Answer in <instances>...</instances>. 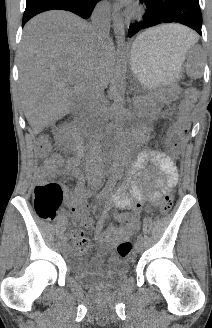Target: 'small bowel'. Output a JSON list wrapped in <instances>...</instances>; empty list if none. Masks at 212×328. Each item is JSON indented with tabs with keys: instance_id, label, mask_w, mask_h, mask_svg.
<instances>
[{
	"instance_id": "1",
	"label": "small bowel",
	"mask_w": 212,
	"mask_h": 328,
	"mask_svg": "<svg viewBox=\"0 0 212 328\" xmlns=\"http://www.w3.org/2000/svg\"><path fill=\"white\" fill-rule=\"evenodd\" d=\"M151 160L156 166L155 175L146 171L147 162ZM43 174L50 176L67 177L71 175L79 181L82 173L77 160L64 162L61 155L55 153L44 163ZM132 185L130 192L126 193L124 187L118 188L112 198L115 207L127 211L115 213L113 218L119 226L105 227V213L95 229V241L99 246L96 254L88 260L91 271L106 274L120 269V258L111 253L120 240L130 239L139 225V214L142 206L149 202L157 205L161 202L163 192L172 189L178 180V172L173 160L160 150L146 149L141 152L132 163L130 171ZM153 185V188H151ZM66 201L70 210L75 214L77 221L86 228L91 227L92 220L89 215V206L86 201L87 193L80 185L74 193L65 189ZM110 205H106L105 210ZM80 241L74 244L73 256L83 257L89 249V241L81 231ZM110 253L109 261L106 256Z\"/></svg>"
}]
</instances>
